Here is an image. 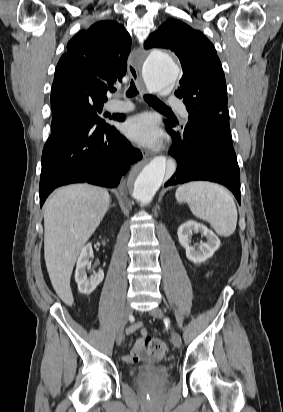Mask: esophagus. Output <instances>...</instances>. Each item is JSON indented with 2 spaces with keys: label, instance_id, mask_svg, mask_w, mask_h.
Returning a JSON list of instances; mask_svg holds the SVG:
<instances>
[{
  "label": "esophagus",
  "instance_id": "esophagus-1",
  "mask_svg": "<svg viewBox=\"0 0 283 412\" xmlns=\"http://www.w3.org/2000/svg\"><path fill=\"white\" fill-rule=\"evenodd\" d=\"M141 64H142L141 60L130 58L128 60V72H129L130 77L137 83L140 93L145 94L147 93V90L144 86V83L142 81V77L140 74Z\"/></svg>",
  "mask_w": 283,
  "mask_h": 412
}]
</instances>
